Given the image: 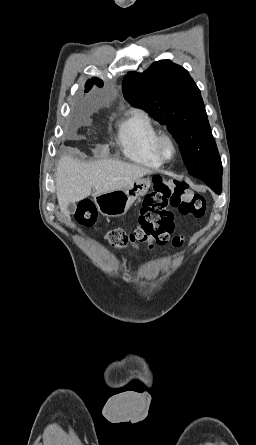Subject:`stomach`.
<instances>
[{"mask_svg":"<svg viewBox=\"0 0 256 445\" xmlns=\"http://www.w3.org/2000/svg\"><path fill=\"white\" fill-rule=\"evenodd\" d=\"M150 177L140 178L128 187L95 195L94 201L103 216L124 215L138 198L144 196L151 187Z\"/></svg>","mask_w":256,"mask_h":445,"instance_id":"1","label":"stomach"}]
</instances>
